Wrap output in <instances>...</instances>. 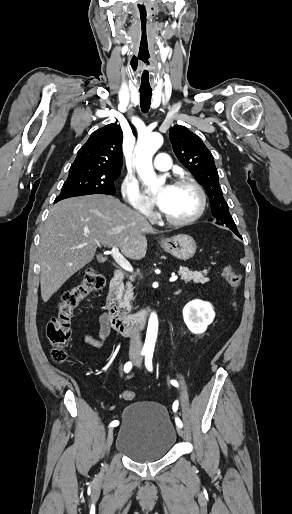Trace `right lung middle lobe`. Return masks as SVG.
<instances>
[{
    "instance_id": "obj_1",
    "label": "right lung middle lobe",
    "mask_w": 292,
    "mask_h": 514,
    "mask_svg": "<svg viewBox=\"0 0 292 514\" xmlns=\"http://www.w3.org/2000/svg\"><path fill=\"white\" fill-rule=\"evenodd\" d=\"M119 175L120 174L69 173L67 180L62 186L61 193L56 197L55 202L69 197L89 194L115 195L114 181Z\"/></svg>"
}]
</instances>
